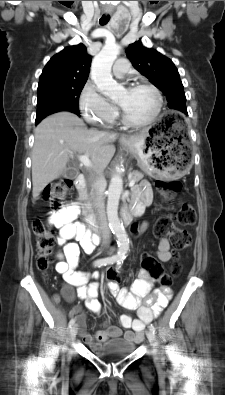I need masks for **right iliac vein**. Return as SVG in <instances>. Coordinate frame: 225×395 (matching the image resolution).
<instances>
[{"instance_id":"right-iliac-vein-1","label":"right iliac vein","mask_w":225,"mask_h":395,"mask_svg":"<svg viewBox=\"0 0 225 395\" xmlns=\"http://www.w3.org/2000/svg\"><path fill=\"white\" fill-rule=\"evenodd\" d=\"M78 332V326L77 325H73L70 329V338L73 340Z\"/></svg>"}]
</instances>
